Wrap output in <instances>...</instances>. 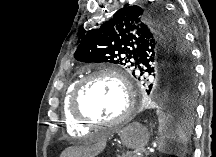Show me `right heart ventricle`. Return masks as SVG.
I'll return each instance as SVG.
<instances>
[{"label":"right heart ventricle","mask_w":216,"mask_h":157,"mask_svg":"<svg viewBox=\"0 0 216 157\" xmlns=\"http://www.w3.org/2000/svg\"><path fill=\"white\" fill-rule=\"evenodd\" d=\"M77 82L71 83L65 90L62 101V114L66 130L73 136H86L90 133V130L86 125L77 121L70 112V100L73 89Z\"/></svg>","instance_id":"e07e8e85"}]
</instances>
